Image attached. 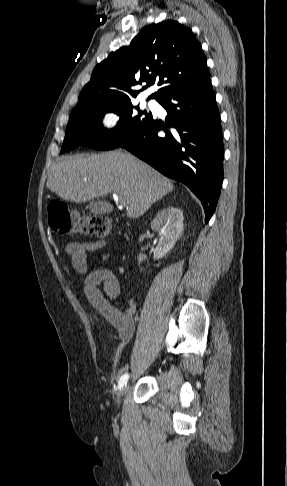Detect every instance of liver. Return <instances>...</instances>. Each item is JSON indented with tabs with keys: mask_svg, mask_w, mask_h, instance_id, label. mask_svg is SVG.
<instances>
[{
	"mask_svg": "<svg viewBox=\"0 0 287 486\" xmlns=\"http://www.w3.org/2000/svg\"><path fill=\"white\" fill-rule=\"evenodd\" d=\"M46 186L76 203L115 192L127 200L126 215L139 218L174 188L172 182L135 156L121 151L59 159Z\"/></svg>",
	"mask_w": 287,
	"mask_h": 486,
	"instance_id": "1",
	"label": "liver"
}]
</instances>
